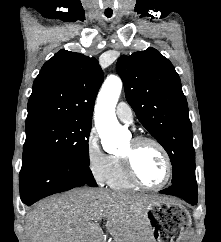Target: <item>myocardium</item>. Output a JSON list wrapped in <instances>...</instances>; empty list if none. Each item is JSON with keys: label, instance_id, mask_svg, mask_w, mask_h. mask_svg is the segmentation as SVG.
<instances>
[{"label": "myocardium", "instance_id": "1", "mask_svg": "<svg viewBox=\"0 0 221 242\" xmlns=\"http://www.w3.org/2000/svg\"><path fill=\"white\" fill-rule=\"evenodd\" d=\"M132 144H133V147L130 151L121 154V159L123 161L125 171H126L128 177L130 178V180L133 183H135L137 186L147 189V190H159V189H162L163 187H165L171 180L172 173H173V165H172L170 155H169L168 151L166 150V148L163 146V144L160 143L155 138L148 137V136H136L132 139ZM144 144H152V145L156 146L159 149V151L162 153V155L165 159L166 175H165L164 180L157 185L146 184L140 178V176L138 175L136 168H135V164H134L135 151L138 147H140Z\"/></svg>", "mask_w": 221, "mask_h": 242}]
</instances>
